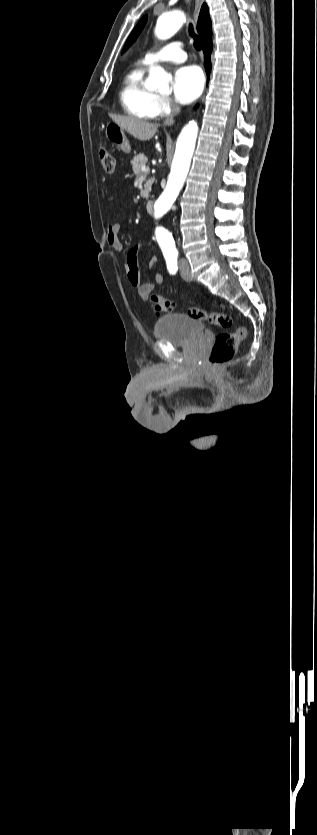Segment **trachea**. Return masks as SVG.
Masks as SVG:
<instances>
[{
    "instance_id": "3493384b",
    "label": "trachea",
    "mask_w": 317,
    "mask_h": 835,
    "mask_svg": "<svg viewBox=\"0 0 317 835\" xmlns=\"http://www.w3.org/2000/svg\"><path fill=\"white\" fill-rule=\"evenodd\" d=\"M189 34L194 40V47L197 51L202 48V39L195 33L192 23H189Z\"/></svg>"
}]
</instances>
